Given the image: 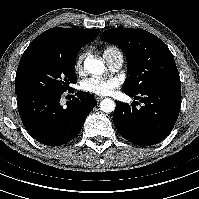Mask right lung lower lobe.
<instances>
[{
    "label": "right lung lower lobe",
    "mask_w": 199,
    "mask_h": 199,
    "mask_svg": "<svg viewBox=\"0 0 199 199\" xmlns=\"http://www.w3.org/2000/svg\"><path fill=\"white\" fill-rule=\"evenodd\" d=\"M63 93L29 92L17 95L18 111L29 134L47 146H61L75 138L97 102L87 92L60 105Z\"/></svg>",
    "instance_id": "1"
}]
</instances>
